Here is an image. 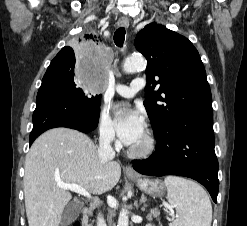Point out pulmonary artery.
Listing matches in <instances>:
<instances>
[{
    "label": "pulmonary artery",
    "mask_w": 247,
    "mask_h": 226,
    "mask_svg": "<svg viewBox=\"0 0 247 226\" xmlns=\"http://www.w3.org/2000/svg\"><path fill=\"white\" fill-rule=\"evenodd\" d=\"M144 85L145 83L143 78H136L130 83V85H124L120 83L116 84L115 91L123 97L131 98L138 91L142 90Z\"/></svg>",
    "instance_id": "e3ab8cb5"
}]
</instances>
